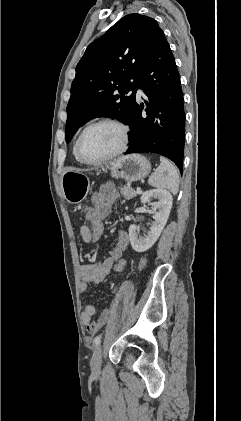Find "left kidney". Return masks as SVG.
<instances>
[{
    "label": "left kidney",
    "instance_id": "5707ae66",
    "mask_svg": "<svg viewBox=\"0 0 241 421\" xmlns=\"http://www.w3.org/2000/svg\"><path fill=\"white\" fill-rule=\"evenodd\" d=\"M153 198L158 201L151 203L154 221L147 235L139 236V229L134 224L129 227L130 243L136 252L147 251L154 245L167 223L172 208L173 197L169 191L165 189L148 190L142 194L140 200L144 204Z\"/></svg>",
    "mask_w": 241,
    "mask_h": 421
}]
</instances>
